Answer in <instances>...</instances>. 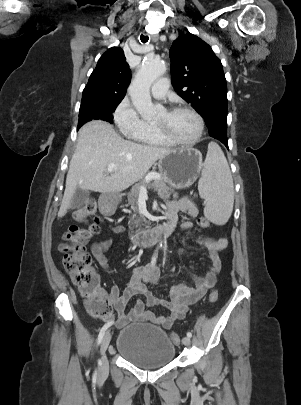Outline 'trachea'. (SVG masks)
<instances>
[{"label":"trachea","mask_w":301,"mask_h":405,"mask_svg":"<svg viewBox=\"0 0 301 405\" xmlns=\"http://www.w3.org/2000/svg\"><path fill=\"white\" fill-rule=\"evenodd\" d=\"M148 39H149L148 36H145V35L140 36V40L142 43H146L148 41Z\"/></svg>","instance_id":"1"}]
</instances>
